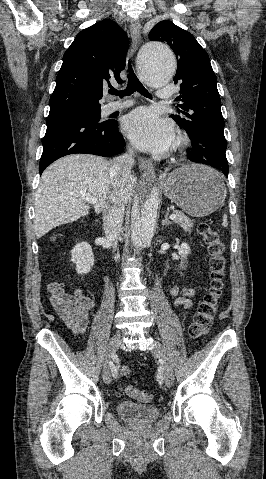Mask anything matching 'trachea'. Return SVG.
Returning <instances> with one entry per match:
<instances>
[{
    "label": "trachea",
    "instance_id": "obj_1",
    "mask_svg": "<svg viewBox=\"0 0 266 479\" xmlns=\"http://www.w3.org/2000/svg\"><path fill=\"white\" fill-rule=\"evenodd\" d=\"M128 67H129V74H128V85L126 89L123 91H118L114 88H110L109 93L114 95H119L120 98H123V96H129L137 91L140 94L144 95L145 97L152 98V96L145 89V87L139 81L133 69L131 68L130 61L128 62Z\"/></svg>",
    "mask_w": 266,
    "mask_h": 479
}]
</instances>
